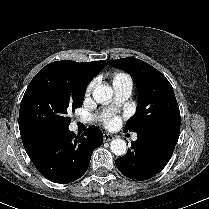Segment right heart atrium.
<instances>
[{
	"instance_id": "1",
	"label": "right heart atrium",
	"mask_w": 209,
	"mask_h": 209,
	"mask_svg": "<svg viewBox=\"0 0 209 209\" xmlns=\"http://www.w3.org/2000/svg\"><path fill=\"white\" fill-rule=\"evenodd\" d=\"M93 87H94V82H91V83L87 86V88H86V95L90 94V92L92 91Z\"/></svg>"
}]
</instances>
